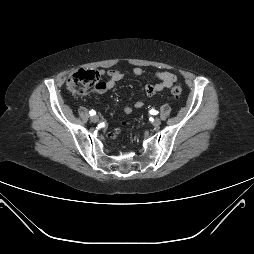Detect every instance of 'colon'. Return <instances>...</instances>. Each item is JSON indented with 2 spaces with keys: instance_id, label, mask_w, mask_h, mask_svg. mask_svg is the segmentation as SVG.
Wrapping results in <instances>:
<instances>
[{
  "instance_id": "5ec220e1",
  "label": "colon",
  "mask_w": 254,
  "mask_h": 254,
  "mask_svg": "<svg viewBox=\"0 0 254 254\" xmlns=\"http://www.w3.org/2000/svg\"><path fill=\"white\" fill-rule=\"evenodd\" d=\"M100 85L99 74L93 70H78L70 74L67 80L68 90L75 96H84L92 88ZM170 95L173 99L177 100L182 95V89L179 86H174L170 90ZM121 134V130L112 134L114 138Z\"/></svg>"
}]
</instances>
